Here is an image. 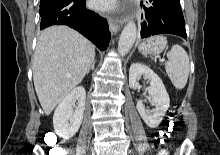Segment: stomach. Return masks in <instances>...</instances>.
<instances>
[{
  "label": "stomach",
  "mask_w": 220,
  "mask_h": 155,
  "mask_svg": "<svg viewBox=\"0 0 220 155\" xmlns=\"http://www.w3.org/2000/svg\"><path fill=\"white\" fill-rule=\"evenodd\" d=\"M166 44L167 41L165 37L154 36L152 38H149L147 41L143 42L139 47V51L143 55L157 54L166 47Z\"/></svg>",
  "instance_id": "obj_1"
}]
</instances>
